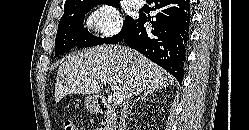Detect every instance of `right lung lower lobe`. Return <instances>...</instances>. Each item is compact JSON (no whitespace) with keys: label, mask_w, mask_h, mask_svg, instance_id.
<instances>
[{"label":"right lung lower lobe","mask_w":249,"mask_h":130,"mask_svg":"<svg viewBox=\"0 0 249 130\" xmlns=\"http://www.w3.org/2000/svg\"><path fill=\"white\" fill-rule=\"evenodd\" d=\"M153 2V10H157L155 18L140 15L120 41L167 70L181 83L189 40L190 3L188 0ZM148 21L152 24L151 30L144 27Z\"/></svg>","instance_id":"obj_1"}]
</instances>
